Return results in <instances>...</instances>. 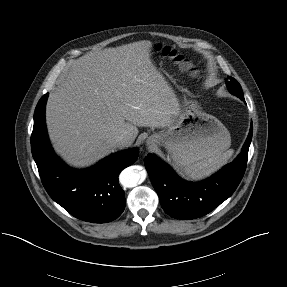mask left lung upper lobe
Returning a JSON list of instances; mask_svg holds the SVG:
<instances>
[{"label": "left lung upper lobe", "instance_id": "1", "mask_svg": "<svg viewBox=\"0 0 287 287\" xmlns=\"http://www.w3.org/2000/svg\"><path fill=\"white\" fill-rule=\"evenodd\" d=\"M228 79H229V81L226 82L228 90L232 94L239 97L240 99L244 98L242 88H241L240 84L237 82V80L230 77V76H228Z\"/></svg>", "mask_w": 287, "mask_h": 287}]
</instances>
